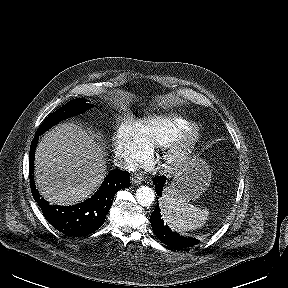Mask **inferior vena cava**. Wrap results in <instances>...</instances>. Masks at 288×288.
Returning <instances> with one entry per match:
<instances>
[{"label":"inferior vena cava","mask_w":288,"mask_h":288,"mask_svg":"<svg viewBox=\"0 0 288 288\" xmlns=\"http://www.w3.org/2000/svg\"><path fill=\"white\" fill-rule=\"evenodd\" d=\"M114 165L122 170L134 172L137 169V164L129 157L114 159Z\"/></svg>","instance_id":"inferior-vena-cava-1"}]
</instances>
